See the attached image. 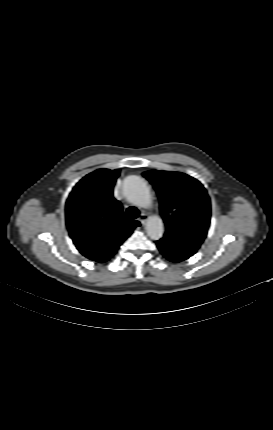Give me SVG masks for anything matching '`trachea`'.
Returning a JSON list of instances; mask_svg holds the SVG:
<instances>
[{
  "label": "trachea",
  "mask_w": 273,
  "mask_h": 430,
  "mask_svg": "<svg viewBox=\"0 0 273 430\" xmlns=\"http://www.w3.org/2000/svg\"><path fill=\"white\" fill-rule=\"evenodd\" d=\"M138 216H139V211L136 207L131 206L126 210V214H125L126 220H133V219H136Z\"/></svg>",
  "instance_id": "3493384b"
}]
</instances>
